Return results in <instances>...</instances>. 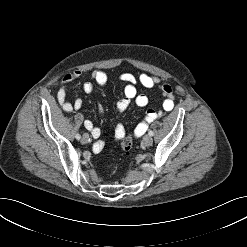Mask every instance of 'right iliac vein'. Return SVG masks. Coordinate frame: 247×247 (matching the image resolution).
<instances>
[{"mask_svg": "<svg viewBox=\"0 0 247 247\" xmlns=\"http://www.w3.org/2000/svg\"><path fill=\"white\" fill-rule=\"evenodd\" d=\"M81 142L83 143V144H86V143H88L89 142V135L88 134H83V136H82V138H81Z\"/></svg>", "mask_w": 247, "mask_h": 247, "instance_id": "right-iliac-vein-1", "label": "right iliac vein"}]
</instances>
